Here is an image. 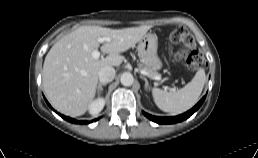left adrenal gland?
Segmentation results:
<instances>
[{"label":"left adrenal gland","instance_id":"a2214340","mask_svg":"<svg viewBox=\"0 0 258 158\" xmlns=\"http://www.w3.org/2000/svg\"><path fill=\"white\" fill-rule=\"evenodd\" d=\"M141 78L145 81V89L148 90V88H149L148 80L143 76H141Z\"/></svg>","mask_w":258,"mask_h":158}]
</instances>
